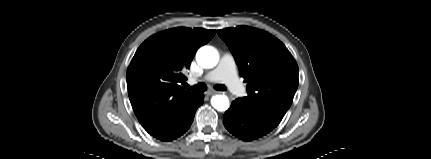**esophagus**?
I'll list each match as a JSON object with an SVG mask.
<instances>
[{"mask_svg":"<svg viewBox=\"0 0 431 159\" xmlns=\"http://www.w3.org/2000/svg\"><path fill=\"white\" fill-rule=\"evenodd\" d=\"M217 93V91H215V90H208L207 92H206V95L207 96H211V95H214V94H216Z\"/></svg>","mask_w":431,"mask_h":159,"instance_id":"34e87169","label":"esophagus"}]
</instances>
